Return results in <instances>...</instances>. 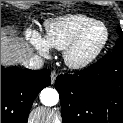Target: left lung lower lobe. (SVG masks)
Wrapping results in <instances>:
<instances>
[{"label":"left lung lower lobe","instance_id":"left-lung-lower-lobe-1","mask_svg":"<svg viewBox=\"0 0 123 123\" xmlns=\"http://www.w3.org/2000/svg\"><path fill=\"white\" fill-rule=\"evenodd\" d=\"M63 123H123V49L55 82Z\"/></svg>","mask_w":123,"mask_h":123}]
</instances>
